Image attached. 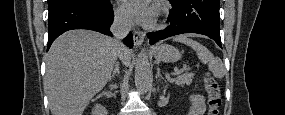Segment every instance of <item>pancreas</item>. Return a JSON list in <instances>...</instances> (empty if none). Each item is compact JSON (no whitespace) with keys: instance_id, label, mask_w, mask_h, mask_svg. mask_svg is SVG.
I'll list each match as a JSON object with an SVG mask.
<instances>
[{"instance_id":"obj_1","label":"pancreas","mask_w":285,"mask_h":115,"mask_svg":"<svg viewBox=\"0 0 285 115\" xmlns=\"http://www.w3.org/2000/svg\"><path fill=\"white\" fill-rule=\"evenodd\" d=\"M194 78V74L191 72H185L181 75H179L178 77H176L175 79L172 80V82H174L175 84H177L178 86H182V85H190L193 81Z\"/></svg>"}]
</instances>
